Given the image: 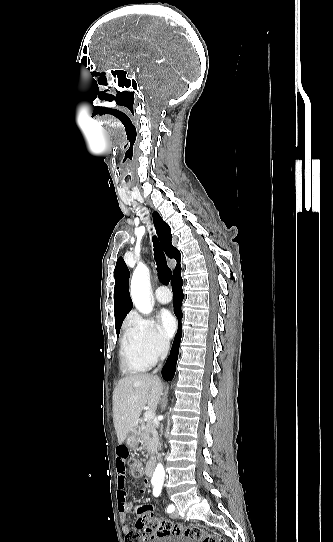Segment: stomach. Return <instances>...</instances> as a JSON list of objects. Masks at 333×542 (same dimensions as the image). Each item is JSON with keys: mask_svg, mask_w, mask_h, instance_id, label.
I'll return each instance as SVG.
<instances>
[{"mask_svg": "<svg viewBox=\"0 0 333 542\" xmlns=\"http://www.w3.org/2000/svg\"><path fill=\"white\" fill-rule=\"evenodd\" d=\"M140 442V434L137 430V428H133L131 432H129L127 438H126V444L129 446V448H137L138 444Z\"/></svg>", "mask_w": 333, "mask_h": 542, "instance_id": "1", "label": "stomach"}]
</instances>
